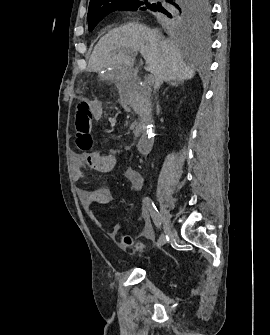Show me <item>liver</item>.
Segmentation results:
<instances>
[{
  "mask_svg": "<svg viewBox=\"0 0 270 335\" xmlns=\"http://www.w3.org/2000/svg\"><path fill=\"white\" fill-rule=\"evenodd\" d=\"M127 50L140 52L146 62L145 70L160 78L161 82L191 80L195 74L194 70L186 66L175 42L164 40L159 32L139 22L114 28L100 38L89 58L88 72H102L113 68L130 78L134 60L129 54H124ZM159 84L155 82V88Z\"/></svg>",
  "mask_w": 270,
  "mask_h": 335,
  "instance_id": "1",
  "label": "liver"
}]
</instances>
